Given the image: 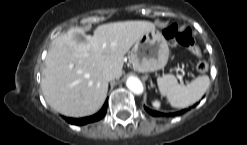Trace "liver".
Returning <instances> with one entry per match:
<instances>
[{"mask_svg": "<svg viewBox=\"0 0 247 145\" xmlns=\"http://www.w3.org/2000/svg\"><path fill=\"white\" fill-rule=\"evenodd\" d=\"M155 29L149 21H124L98 26L93 35L72 28L52 41L42 73L41 88L47 104L70 117L97 112L108 91L104 69L122 75L124 55L145 33Z\"/></svg>", "mask_w": 247, "mask_h": 145, "instance_id": "1", "label": "liver"}]
</instances>
